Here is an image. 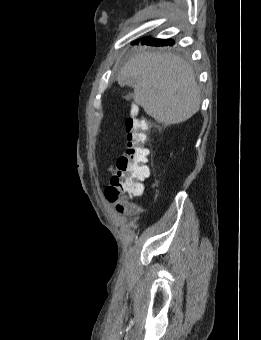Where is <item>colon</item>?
<instances>
[{"label":"colon","instance_id":"5ec220e1","mask_svg":"<svg viewBox=\"0 0 261 340\" xmlns=\"http://www.w3.org/2000/svg\"><path fill=\"white\" fill-rule=\"evenodd\" d=\"M125 127L126 154L117 160V173L105 189L107 200L115 204L120 213L137 210L130 200L141 195L143 192L142 182L149 176L147 166L149 149L145 145L148 125L132 112L125 122Z\"/></svg>","mask_w":261,"mask_h":340}]
</instances>
